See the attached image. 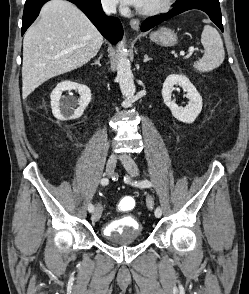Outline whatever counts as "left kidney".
Masks as SVG:
<instances>
[{
    "label": "left kidney",
    "mask_w": 249,
    "mask_h": 294,
    "mask_svg": "<svg viewBox=\"0 0 249 294\" xmlns=\"http://www.w3.org/2000/svg\"><path fill=\"white\" fill-rule=\"evenodd\" d=\"M174 85H179L187 92L186 97L189 99V102L185 107H179L175 100H172L171 96ZM162 97L174 118L184 123H193L202 110V97L190 80L182 74H171L165 79Z\"/></svg>",
    "instance_id": "1"
}]
</instances>
